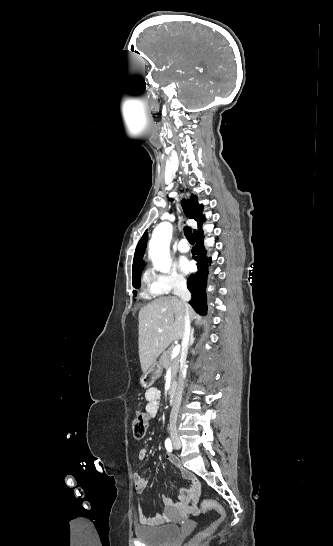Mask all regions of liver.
<instances>
[{
  "mask_svg": "<svg viewBox=\"0 0 333 546\" xmlns=\"http://www.w3.org/2000/svg\"><path fill=\"white\" fill-rule=\"evenodd\" d=\"M185 306L176 297H161L139 311L138 346L141 369L146 372L173 342L182 339ZM190 319L197 314L189 307Z\"/></svg>",
  "mask_w": 333,
  "mask_h": 546,
  "instance_id": "liver-1",
  "label": "liver"
}]
</instances>
